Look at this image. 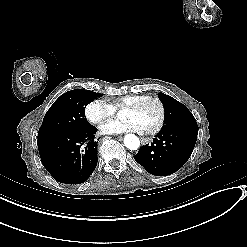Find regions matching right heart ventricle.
<instances>
[{
	"mask_svg": "<svg viewBox=\"0 0 247 247\" xmlns=\"http://www.w3.org/2000/svg\"><path fill=\"white\" fill-rule=\"evenodd\" d=\"M141 96H144V95H128V96L119 97V98H116L115 100H113L112 105L114 107L127 106V105H130L134 100L140 98ZM142 131L143 130H141V132Z\"/></svg>",
	"mask_w": 247,
	"mask_h": 247,
	"instance_id": "obj_1",
	"label": "right heart ventricle"
}]
</instances>
